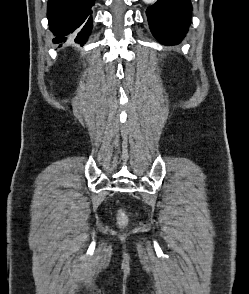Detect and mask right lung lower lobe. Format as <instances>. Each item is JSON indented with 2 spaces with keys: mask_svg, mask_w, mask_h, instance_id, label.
Returning a JSON list of instances; mask_svg holds the SVG:
<instances>
[{
  "mask_svg": "<svg viewBox=\"0 0 249 294\" xmlns=\"http://www.w3.org/2000/svg\"><path fill=\"white\" fill-rule=\"evenodd\" d=\"M95 0H48L47 14L54 43L75 41L81 46L92 29V7Z\"/></svg>",
  "mask_w": 249,
  "mask_h": 294,
  "instance_id": "obj_1",
  "label": "right lung lower lobe"
}]
</instances>
